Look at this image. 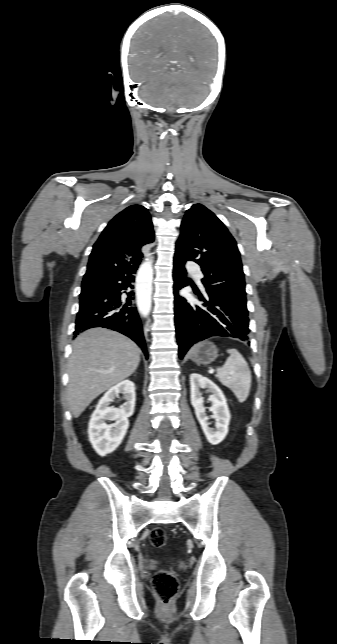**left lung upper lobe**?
I'll return each mask as SVG.
<instances>
[{
	"instance_id": "1",
	"label": "left lung upper lobe",
	"mask_w": 337,
	"mask_h": 644,
	"mask_svg": "<svg viewBox=\"0 0 337 644\" xmlns=\"http://www.w3.org/2000/svg\"><path fill=\"white\" fill-rule=\"evenodd\" d=\"M175 257L201 266L206 289L227 298L248 314L244 273L236 241L216 215L201 204L187 210Z\"/></svg>"
}]
</instances>
